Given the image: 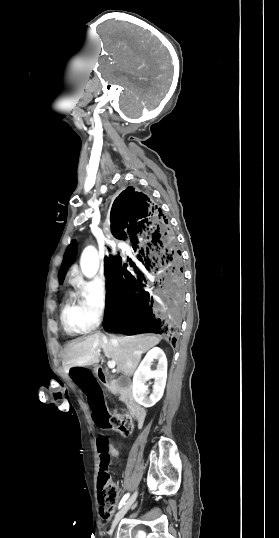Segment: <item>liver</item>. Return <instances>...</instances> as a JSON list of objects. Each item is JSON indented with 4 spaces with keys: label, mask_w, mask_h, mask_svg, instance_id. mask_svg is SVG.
<instances>
[{
    "label": "liver",
    "mask_w": 279,
    "mask_h": 538,
    "mask_svg": "<svg viewBox=\"0 0 279 538\" xmlns=\"http://www.w3.org/2000/svg\"><path fill=\"white\" fill-rule=\"evenodd\" d=\"M117 340L118 346H113L111 340H108L106 336L92 334V336L82 338L80 342L70 344L68 370L76 368V366L98 364L99 350H103L106 358H111L116 362L119 372H124L125 376H132L142 354L157 346L161 336L139 334V336H124V338H117Z\"/></svg>",
    "instance_id": "liver-1"
}]
</instances>
